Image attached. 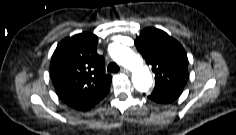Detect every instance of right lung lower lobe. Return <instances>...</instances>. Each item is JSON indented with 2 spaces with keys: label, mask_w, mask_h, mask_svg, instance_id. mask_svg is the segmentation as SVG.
<instances>
[{
  "label": "right lung lower lobe",
  "mask_w": 236,
  "mask_h": 135,
  "mask_svg": "<svg viewBox=\"0 0 236 135\" xmlns=\"http://www.w3.org/2000/svg\"><path fill=\"white\" fill-rule=\"evenodd\" d=\"M110 87H108L103 93H101L100 95L83 101V102H78V103H71V104H67L70 107L76 109V110H80V111H87L89 109H91L93 106H95L98 102H100L109 92Z\"/></svg>",
  "instance_id": "right-lung-lower-lobe-1"
}]
</instances>
